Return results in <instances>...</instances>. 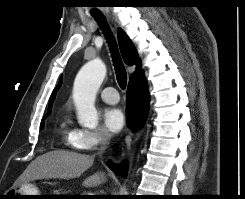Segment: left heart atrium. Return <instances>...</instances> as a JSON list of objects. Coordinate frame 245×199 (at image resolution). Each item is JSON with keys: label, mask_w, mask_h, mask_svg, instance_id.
<instances>
[{"label": "left heart atrium", "mask_w": 245, "mask_h": 199, "mask_svg": "<svg viewBox=\"0 0 245 199\" xmlns=\"http://www.w3.org/2000/svg\"><path fill=\"white\" fill-rule=\"evenodd\" d=\"M125 118L118 108H109L104 113V124L107 130L118 133L124 126Z\"/></svg>", "instance_id": "left-heart-atrium-1"}]
</instances>
